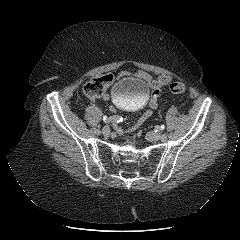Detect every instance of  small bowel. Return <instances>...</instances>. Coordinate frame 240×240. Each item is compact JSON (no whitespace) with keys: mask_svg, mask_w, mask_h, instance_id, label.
<instances>
[{"mask_svg":"<svg viewBox=\"0 0 240 240\" xmlns=\"http://www.w3.org/2000/svg\"><path fill=\"white\" fill-rule=\"evenodd\" d=\"M125 75H129L128 72H122L120 73L117 78H120L122 76ZM134 76L142 79L143 81H145L148 86L152 89V94L150 97V107L151 108H156L158 105V98L160 96V89L167 85L170 81H171V77L167 74H161L158 77H153L151 76L149 73L145 72V71H137L134 73ZM107 77L109 78L108 84H110L113 80L114 77L112 75H107ZM110 98L109 94H103L102 95V100L103 101H108ZM110 112L112 114H114L117 118H120L122 116V113L116 109L115 107H112L110 109ZM151 111H145L139 118L137 123H133L129 129H127L125 132H123V126L122 125H117L115 128V131L118 135H120L121 139H126V138H130L132 135H134L139 128H143L144 127V123L145 124H150L151 123ZM144 121V122H143Z\"/></svg>","mask_w":240,"mask_h":240,"instance_id":"c3829d8e","label":"small bowel"}]
</instances>
